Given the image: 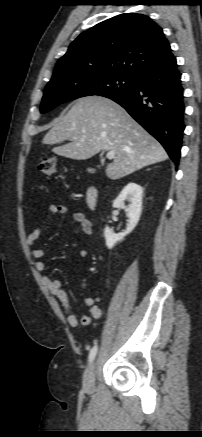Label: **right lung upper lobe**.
Segmentation results:
<instances>
[{
  "label": "right lung upper lobe",
  "mask_w": 202,
  "mask_h": 437,
  "mask_svg": "<svg viewBox=\"0 0 202 437\" xmlns=\"http://www.w3.org/2000/svg\"><path fill=\"white\" fill-rule=\"evenodd\" d=\"M174 58L159 25L146 15L125 13L81 33L58 60L52 80L103 73L137 78Z\"/></svg>",
  "instance_id": "1"
}]
</instances>
